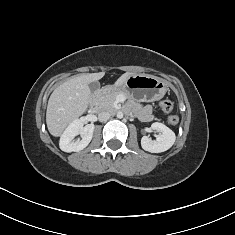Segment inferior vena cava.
<instances>
[{"label":"inferior vena cava","instance_id":"602c4592","mask_svg":"<svg viewBox=\"0 0 235 235\" xmlns=\"http://www.w3.org/2000/svg\"><path fill=\"white\" fill-rule=\"evenodd\" d=\"M110 116H111V114H110L109 111L102 110L98 114V119L101 122H105V121H107L110 118Z\"/></svg>","mask_w":235,"mask_h":235}]
</instances>
